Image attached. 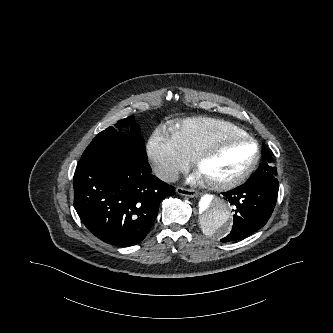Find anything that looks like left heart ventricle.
Listing matches in <instances>:
<instances>
[{"mask_svg": "<svg viewBox=\"0 0 333 333\" xmlns=\"http://www.w3.org/2000/svg\"><path fill=\"white\" fill-rule=\"evenodd\" d=\"M254 146L246 141L228 140L220 143L198 168L204 179L223 181L239 174L252 160Z\"/></svg>", "mask_w": 333, "mask_h": 333, "instance_id": "1", "label": "left heart ventricle"}]
</instances>
